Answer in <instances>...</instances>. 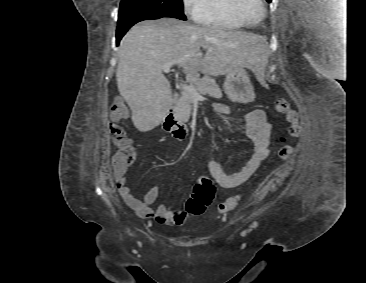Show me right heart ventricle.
Instances as JSON below:
<instances>
[{"label": "right heart ventricle", "mask_w": 366, "mask_h": 283, "mask_svg": "<svg viewBox=\"0 0 366 283\" xmlns=\"http://www.w3.org/2000/svg\"><path fill=\"white\" fill-rule=\"evenodd\" d=\"M198 23L222 30H238L243 27L233 16L230 0H207Z\"/></svg>", "instance_id": "right-heart-ventricle-1"}]
</instances>
